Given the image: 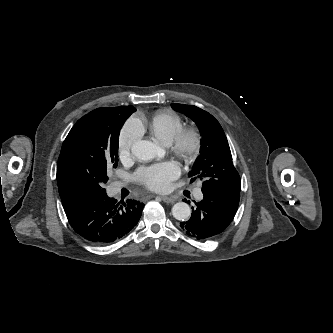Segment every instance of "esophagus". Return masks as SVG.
Returning <instances> with one entry per match:
<instances>
[{
  "label": "esophagus",
  "mask_w": 333,
  "mask_h": 333,
  "mask_svg": "<svg viewBox=\"0 0 333 333\" xmlns=\"http://www.w3.org/2000/svg\"><path fill=\"white\" fill-rule=\"evenodd\" d=\"M161 199L165 203H173L175 201V198L168 196H162Z\"/></svg>",
  "instance_id": "obj_1"
}]
</instances>
